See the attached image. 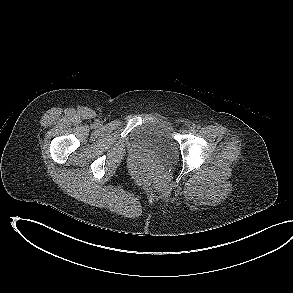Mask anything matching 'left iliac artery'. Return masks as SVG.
<instances>
[{"mask_svg":"<svg viewBox=\"0 0 293 293\" xmlns=\"http://www.w3.org/2000/svg\"><path fill=\"white\" fill-rule=\"evenodd\" d=\"M195 128H196V129H200L201 126H200V125H196Z\"/></svg>","mask_w":293,"mask_h":293,"instance_id":"obj_1","label":"left iliac artery"}]
</instances>
